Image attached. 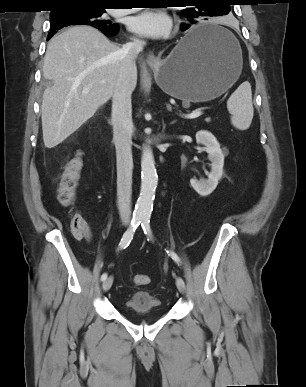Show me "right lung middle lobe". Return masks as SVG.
<instances>
[{
	"label": "right lung middle lobe",
	"instance_id": "right-lung-middle-lobe-1",
	"mask_svg": "<svg viewBox=\"0 0 306 387\" xmlns=\"http://www.w3.org/2000/svg\"><path fill=\"white\" fill-rule=\"evenodd\" d=\"M103 13H105V9L98 6H73L62 8L59 12H51V32L70 25L84 24L98 29L118 26L108 20H102L101 15Z\"/></svg>",
	"mask_w": 306,
	"mask_h": 387
}]
</instances>
